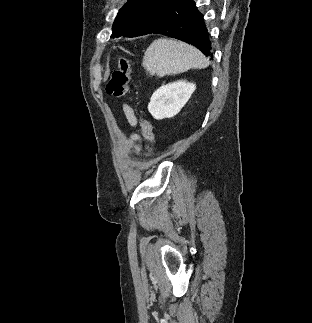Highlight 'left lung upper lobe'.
<instances>
[{"mask_svg": "<svg viewBox=\"0 0 312 323\" xmlns=\"http://www.w3.org/2000/svg\"><path fill=\"white\" fill-rule=\"evenodd\" d=\"M173 0H128L119 10L111 38L147 34L170 12Z\"/></svg>", "mask_w": 312, "mask_h": 323, "instance_id": "5c2ea615", "label": "left lung upper lobe"}]
</instances>
